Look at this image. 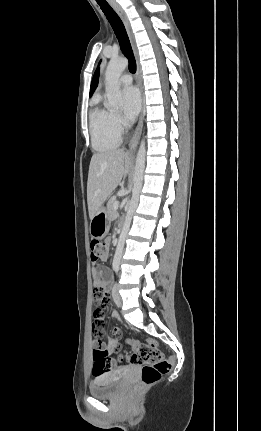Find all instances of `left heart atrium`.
<instances>
[{
  "mask_svg": "<svg viewBox=\"0 0 261 431\" xmlns=\"http://www.w3.org/2000/svg\"><path fill=\"white\" fill-rule=\"evenodd\" d=\"M123 114L127 121H133L137 116L141 98L139 91L134 86H128L122 90Z\"/></svg>",
  "mask_w": 261,
  "mask_h": 431,
  "instance_id": "39dd6f15",
  "label": "left heart atrium"
}]
</instances>
